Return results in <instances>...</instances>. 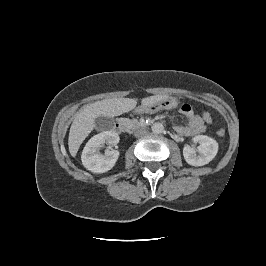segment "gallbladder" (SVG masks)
<instances>
[{"instance_id": "1", "label": "gallbladder", "mask_w": 266, "mask_h": 266, "mask_svg": "<svg viewBox=\"0 0 266 266\" xmlns=\"http://www.w3.org/2000/svg\"><path fill=\"white\" fill-rule=\"evenodd\" d=\"M114 120L110 117L99 116L95 119V126L97 129H110Z\"/></svg>"}]
</instances>
